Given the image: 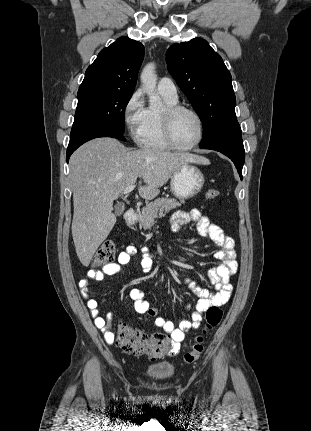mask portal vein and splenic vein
I'll list each match as a JSON object with an SVG mask.
<instances>
[{"label":"portal vein and splenic vein","instance_id":"18ae733b","mask_svg":"<svg viewBox=\"0 0 311 431\" xmlns=\"http://www.w3.org/2000/svg\"><path fill=\"white\" fill-rule=\"evenodd\" d=\"M136 186H134V184H132V186H127V188H125L123 194H125V196H129L130 192H133V190H135Z\"/></svg>","mask_w":311,"mask_h":431}]
</instances>
